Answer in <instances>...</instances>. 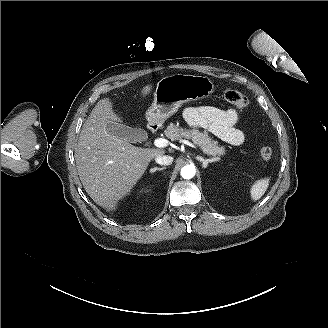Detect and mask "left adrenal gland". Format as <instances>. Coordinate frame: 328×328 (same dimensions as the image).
Instances as JSON below:
<instances>
[{
	"label": "left adrenal gland",
	"instance_id": "1",
	"mask_svg": "<svg viewBox=\"0 0 328 328\" xmlns=\"http://www.w3.org/2000/svg\"><path fill=\"white\" fill-rule=\"evenodd\" d=\"M197 160H200L203 162V168H207L210 163H214L213 160H205L203 158L196 157Z\"/></svg>",
	"mask_w": 328,
	"mask_h": 328
}]
</instances>
